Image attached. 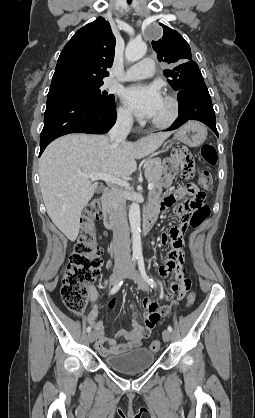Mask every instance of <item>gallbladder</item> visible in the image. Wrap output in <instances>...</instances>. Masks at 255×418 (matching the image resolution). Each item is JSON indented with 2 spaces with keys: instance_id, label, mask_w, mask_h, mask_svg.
<instances>
[{
  "instance_id": "bac80fb5",
  "label": "gallbladder",
  "mask_w": 255,
  "mask_h": 418,
  "mask_svg": "<svg viewBox=\"0 0 255 418\" xmlns=\"http://www.w3.org/2000/svg\"><path fill=\"white\" fill-rule=\"evenodd\" d=\"M96 191H97V193H100L102 191V188L98 187Z\"/></svg>"
}]
</instances>
